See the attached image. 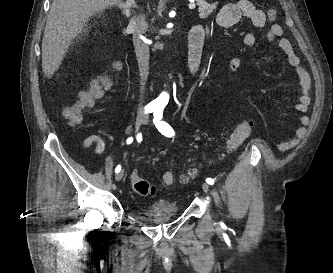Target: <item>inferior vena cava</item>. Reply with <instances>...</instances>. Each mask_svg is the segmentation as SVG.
I'll use <instances>...</instances> for the list:
<instances>
[{"label": "inferior vena cava", "mask_w": 333, "mask_h": 273, "mask_svg": "<svg viewBox=\"0 0 333 273\" xmlns=\"http://www.w3.org/2000/svg\"><path fill=\"white\" fill-rule=\"evenodd\" d=\"M130 27L133 29V43L135 47L136 57L140 72V93L143 97L145 90L146 81L149 74V47L141 39V36L145 34L148 28V24L143 15L138 17H133L129 23ZM142 100V99H141ZM139 111H143V107L139 104Z\"/></svg>", "instance_id": "602c4592"}]
</instances>
